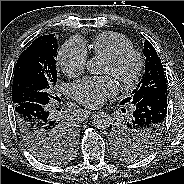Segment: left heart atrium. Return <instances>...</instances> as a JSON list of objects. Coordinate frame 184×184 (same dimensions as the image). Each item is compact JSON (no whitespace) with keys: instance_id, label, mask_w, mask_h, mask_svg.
Listing matches in <instances>:
<instances>
[{"instance_id":"1","label":"left heart atrium","mask_w":184,"mask_h":184,"mask_svg":"<svg viewBox=\"0 0 184 184\" xmlns=\"http://www.w3.org/2000/svg\"><path fill=\"white\" fill-rule=\"evenodd\" d=\"M116 92L117 85L109 76L84 78L71 86L73 98L91 108L100 106L106 97H111Z\"/></svg>"}]
</instances>
